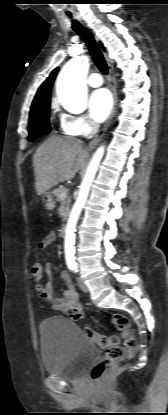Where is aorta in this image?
<instances>
[{"label": "aorta", "mask_w": 168, "mask_h": 415, "mask_svg": "<svg viewBox=\"0 0 168 415\" xmlns=\"http://www.w3.org/2000/svg\"><path fill=\"white\" fill-rule=\"evenodd\" d=\"M89 61L86 56L71 59L60 71L57 78V96L61 105L72 113H81L87 105L86 75ZM104 146L94 153L85 177L81 183L78 198L71 210L66 225L64 249L68 265H74V243L77 221L87 200L90 187L104 155Z\"/></svg>", "instance_id": "aorta-1"}]
</instances>
